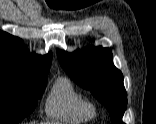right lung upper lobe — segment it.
I'll list each match as a JSON object with an SVG mask.
<instances>
[{"label": "right lung upper lobe", "mask_w": 156, "mask_h": 124, "mask_svg": "<svg viewBox=\"0 0 156 124\" xmlns=\"http://www.w3.org/2000/svg\"><path fill=\"white\" fill-rule=\"evenodd\" d=\"M52 53L30 54L23 41L0 30V72L44 76L50 69Z\"/></svg>", "instance_id": "right-lung-upper-lobe-1"}]
</instances>
